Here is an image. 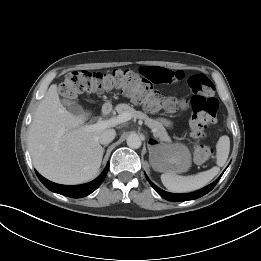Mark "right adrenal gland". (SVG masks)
Masks as SVG:
<instances>
[{"label":"right adrenal gland","mask_w":261,"mask_h":261,"mask_svg":"<svg viewBox=\"0 0 261 261\" xmlns=\"http://www.w3.org/2000/svg\"><path fill=\"white\" fill-rule=\"evenodd\" d=\"M105 147H107V145H104V147H103V151L105 150Z\"/></svg>","instance_id":"1"}]
</instances>
